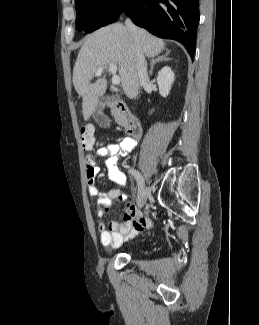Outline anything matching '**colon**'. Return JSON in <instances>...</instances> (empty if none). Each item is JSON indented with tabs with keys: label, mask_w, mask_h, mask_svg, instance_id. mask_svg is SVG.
Wrapping results in <instances>:
<instances>
[{
	"label": "colon",
	"mask_w": 259,
	"mask_h": 325,
	"mask_svg": "<svg viewBox=\"0 0 259 325\" xmlns=\"http://www.w3.org/2000/svg\"><path fill=\"white\" fill-rule=\"evenodd\" d=\"M80 139L82 148L90 151L95 143L94 129L91 125H85L80 129Z\"/></svg>",
	"instance_id": "1"
}]
</instances>
